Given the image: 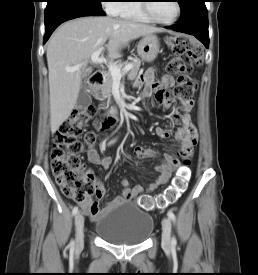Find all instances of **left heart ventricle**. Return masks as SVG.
Returning a JSON list of instances; mask_svg holds the SVG:
<instances>
[{
    "label": "left heart ventricle",
    "instance_id": "1",
    "mask_svg": "<svg viewBox=\"0 0 258 275\" xmlns=\"http://www.w3.org/2000/svg\"><path fill=\"white\" fill-rule=\"evenodd\" d=\"M150 6L153 15L162 21L171 20L176 15L177 9L174 1H154Z\"/></svg>",
    "mask_w": 258,
    "mask_h": 275
}]
</instances>
